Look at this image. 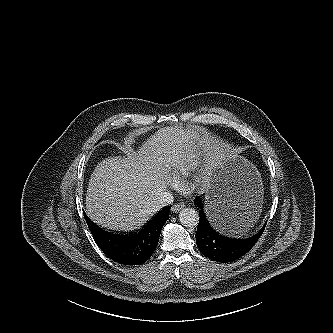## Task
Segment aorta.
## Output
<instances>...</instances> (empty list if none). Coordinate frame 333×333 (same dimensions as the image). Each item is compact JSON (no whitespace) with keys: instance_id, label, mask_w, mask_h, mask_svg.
Returning <instances> with one entry per match:
<instances>
[{"instance_id":"aorta-1","label":"aorta","mask_w":333,"mask_h":333,"mask_svg":"<svg viewBox=\"0 0 333 333\" xmlns=\"http://www.w3.org/2000/svg\"><path fill=\"white\" fill-rule=\"evenodd\" d=\"M179 220L183 226L194 227L199 222V215L193 208H184L179 213Z\"/></svg>"}]
</instances>
